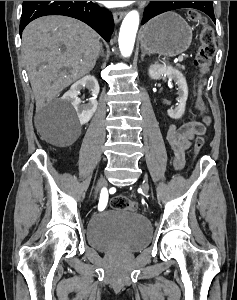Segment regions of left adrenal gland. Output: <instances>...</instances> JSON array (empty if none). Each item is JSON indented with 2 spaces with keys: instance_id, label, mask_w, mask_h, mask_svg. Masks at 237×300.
<instances>
[{
  "instance_id": "obj_1",
  "label": "left adrenal gland",
  "mask_w": 237,
  "mask_h": 300,
  "mask_svg": "<svg viewBox=\"0 0 237 300\" xmlns=\"http://www.w3.org/2000/svg\"><path fill=\"white\" fill-rule=\"evenodd\" d=\"M141 53H142V55H141V61H143L145 55H148V53H147V51H145V49H143V47H141Z\"/></svg>"
}]
</instances>
